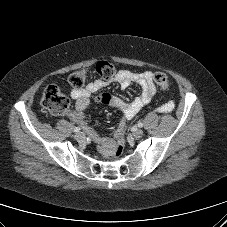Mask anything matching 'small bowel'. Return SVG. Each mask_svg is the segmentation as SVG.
<instances>
[{"label": "small bowel", "instance_id": "obj_1", "mask_svg": "<svg viewBox=\"0 0 227 227\" xmlns=\"http://www.w3.org/2000/svg\"><path fill=\"white\" fill-rule=\"evenodd\" d=\"M110 82L117 83L121 88L126 89L131 84L135 83L140 86L141 95L133 101L127 102L110 93H103L100 96L102 103L111 105L120 110L124 116V120L120 123L115 133L110 137L100 135L97 131L86 126L83 111L90 103V97L93 93L103 89ZM156 93L154 83V75L150 71L134 72L131 70H121L111 80L96 79L89 83L83 89H74L71 91V97L75 102V109L68 113V117L75 123L82 125L97 143L99 151L105 157H110L116 151L119 134L123 131L126 120H131L138 112L148 105ZM175 104L169 101L158 107L159 112H170L174 109Z\"/></svg>", "mask_w": 227, "mask_h": 227}]
</instances>
